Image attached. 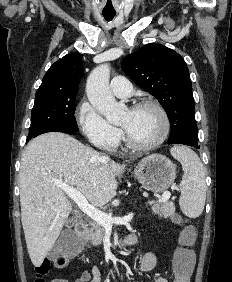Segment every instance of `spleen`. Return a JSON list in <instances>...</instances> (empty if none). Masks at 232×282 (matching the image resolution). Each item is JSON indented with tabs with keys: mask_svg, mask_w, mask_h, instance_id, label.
Masks as SVG:
<instances>
[{
	"mask_svg": "<svg viewBox=\"0 0 232 282\" xmlns=\"http://www.w3.org/2000/svg\"><path fill=\"white\" fill-rule=\"evenodd\" d=\"M170 152L181 163L184 171L180 183L181 197L179 204L181 210L186 216L196 218L201 215L205 206L204 166L197 154L188 147L174 146Z\"/></svg>",
	"mask_w": 232,
	"mask_h": 282,
	"instance_id": "1",
	"label": "spleen"
}]
</instances>
